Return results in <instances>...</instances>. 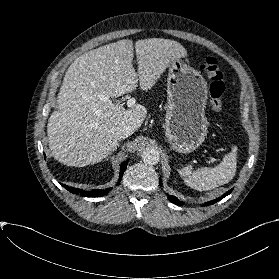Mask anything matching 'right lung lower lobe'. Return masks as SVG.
Returning a JSON list of instances; mask_svg holds the SVG:
<instances>
[{"label":"right lung lower lobe","instance_id":"obj_1","mask_svg":"<svg viewBox=\"0 0 279 279\" xmlns=\"http://www.w3.org/2000/svg\"><path fill=\"white\" fill-rule=\"evenodd\" d=\"M129 160L123 162L121 164V168H120V178L122 177L125 169H126V165L128 163ZM120 183V180L118 182V184ZM63 187H65L68 191L72 192V193H77V192H80L83 196H88V197H99V196H103V195H106L108 194V192L110 190H112V188H108L106 190H102V189H97V190H92V191H81L80 189H76L74 187H69L67 185H64L62 184Z\"/></svg>","mask_w":279,"mask_h":279}]
</instances>
